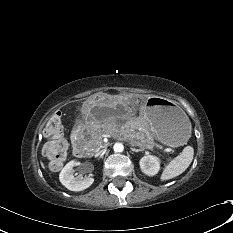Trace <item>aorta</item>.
I'll return each instance as SVG.
<instances>
[{"label":"aorta","mask_w":233,"mask_h":233,"mask_svg":"<svg viewBox=\"0 0 233 233\" xmlns=\"http://www.w3.org/2000/svg\"><path fill=\"white\" fill-rule=\"evenodd\" d=\"M113 150H114V152H116V153L123 152L124 146H123L122 143H115L114 146H113Z\"/></svg>","instance_id":"1"}]
</instances>
